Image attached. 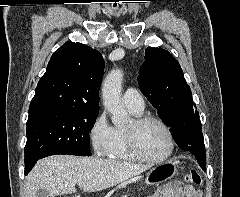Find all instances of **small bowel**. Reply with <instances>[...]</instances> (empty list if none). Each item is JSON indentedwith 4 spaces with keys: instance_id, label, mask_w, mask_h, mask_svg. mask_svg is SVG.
I'll return each mask as SVG.
<instances>
[{
    "instance_id": "1",
    "label": "small bowel",
    "mask_w": 240,
    "mask_h": 197,
    "mask_svg": "<svg viewBox=\"0 0 240 197\" xmlns=\"http://www.w3.org/2000/svg\"><path fill=\"white\" fill-rule=\"evenodd\" d=\"M155 197H158V193ZM166 197H201V191L190 185L180 186L173 184L170 186V190L166 193Z\"/></svg>"
}]
</instances>
